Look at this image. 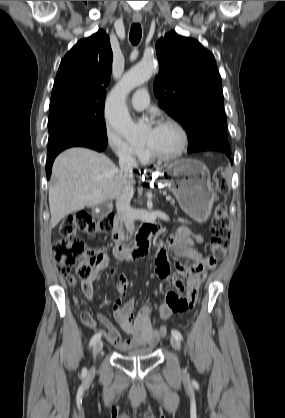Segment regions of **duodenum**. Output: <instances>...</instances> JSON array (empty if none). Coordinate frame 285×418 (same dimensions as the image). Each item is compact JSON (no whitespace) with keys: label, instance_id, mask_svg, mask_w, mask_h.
I'll return each mask as SVG.
<instances>
[{"label":"duodenum","instance_id":"duodenum-1","mask_svg":"<svg viewBox=\"0 0 285 418\" xmlns=\"http://www.w3.org/2000/svg\"><path fill=\"white\" fill-rule=\"evenodd\" d=\"M158 231L156 226H151L147 229V234L139 237L138 241L132 245H125L123 240L122 221L117 216L116 223L112 229L111 238L114 242L113 255L119 260H132L138 257L146 256L150 250L149 235Z\"/></svg>","mask_w":285,"mask_h":418}]
</instances>
